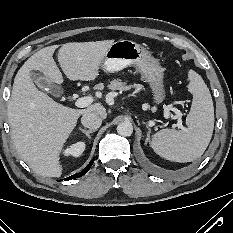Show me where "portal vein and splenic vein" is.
Here are the masks:
<instances>
[{
    "label": "portal vein and splenic vein",
    "instance_id": "1",
    "mask_svg": "<svg viewBox=\"0 0 233 233\" xmlns=\"http://www.w3.org/2000/svg\"><path fill=\"white\" fill-rule=\"evenodd\" d=\"M93 100L94 99L91 96L81 97L75 101V106L78 108H85V107L91 105ZM169 110L175 112L177 114V118L179 119V123L175 124L174 126H176L178 128H182V123H181L182 113L180 112V110H178L175 107H170Z\"/></svg>",
    "mask_w": 233,
    "mask_h": 233
}]
</instances>
